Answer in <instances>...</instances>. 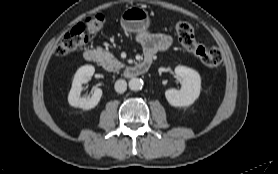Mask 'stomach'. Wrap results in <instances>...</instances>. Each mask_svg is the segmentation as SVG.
<instances>
[{"label":"stomach","instance_id":"1","mask_svg":"<svg viewBox=\"0 0 278 174\" xmlns=\"http://www.w3.org/2000/svg\"><path fill=\"white\" fill-rule=\"evenodd\" d=\"M120 23L125 31L138 33L149 28L150 19L145 9L138 6H131L121 14Z\"/></svg>","mask_w":278,"mask_h":174}]
</instances>
